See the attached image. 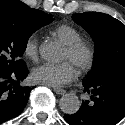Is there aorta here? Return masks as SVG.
<instances>
[{"label":"aorta","instance_id":"1","mask_svg":"<svg viewBox=\"0 0 125 125\" xmlns=\"http://www.w3.org/2000/svg\"><path fill=\"white\" fill-rule=\"evenodd\" d=\"M39 51L41 57L48 62L59 61L62 54L60 46L54 41L44 42ZM59 105L65 114H74L79 110L81 103L75 94L68 93L61 97Z\"/></svg>","mask_w":125,"mask_h":125}]
</instances>
